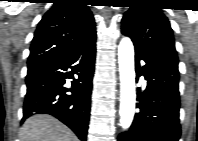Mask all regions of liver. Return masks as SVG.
Instances as JSON below:
<instances>
[{
	"instance_id": "liver-1",
	"label": "liver",
	"mask_w": 198,
	"mask_h": 141,
	"mask_svg": "<svg viewBox=\"0 0 198 141\" xmlns=\"http://www.w3.org/2000/svg\"><path fill=\"white\" fill-rule=\"evenodd\" d=\"M20 141H78L75 134L50 115H34L28 118L19 132Z\"/></svg>"
}]
</instances>
